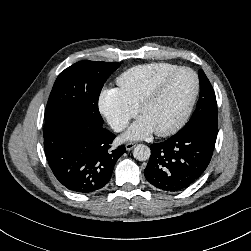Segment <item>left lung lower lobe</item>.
Here are the masks:
<instances>
[{
	"instance_id": "0a47b994",
	"label": "left lung lower lobe",
	"mask_w": 251,
	"mask_h": 251,
	"mask_svg": "<svg viewBox=\"0 0 251 251\" xmlns=\"http://www.w3.org/2000/svg\"><path fill=\"white\" fill-rule=\"evenodd\" d=\"M217 128L198 125L179 131L150 146L151 156L144 174L156 188L176 192L194 183L207 168L213 154Z\"/></svg>"
}]
</instances>
